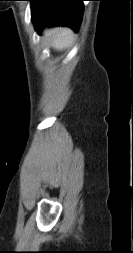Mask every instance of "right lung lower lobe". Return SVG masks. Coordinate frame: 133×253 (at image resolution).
<instances>
[{
  "label": "right lung lower lobe",
  "mask_w": 133,
  "mask_h": 253,
  "mask_svg": "<svg viewBox=\"0 0 133 253\" xmlns=\"http://www.w3.org/2000/svg\"><path fill=\"white\" fill-rule=\"evenodd\" d=\"M31 16L36 31L40 34L46 26H68L78 31L84 0H30Z\"/></svg>",
  "instance_id": "1"
}]
</instances>
